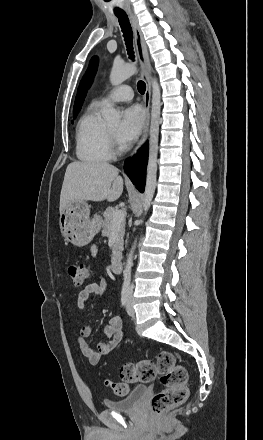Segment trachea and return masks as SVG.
<instances>
[{"label":"trachea","mask_w":263,"mask_h":440,"mask_svg":"<svg viewBox=\"0 0 263 440\" xmlns=\"http://www.w3.org/2000/svg\"><path fill=\"white\" fill-rule=\"evenodd\" d=\"M115 15L118 17L123 32V37L125 40L129 58L133 60L134 59V51L132 45L133 33L129 23V19L127 15L121 11H116ZM137 88L140 94H144L146 90V84L143 81H138Z\"/></svg>","instance_id":"1"}]
</instances>
